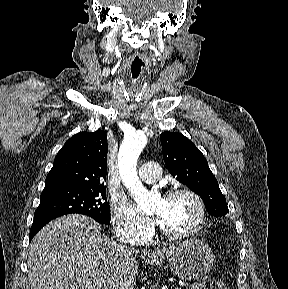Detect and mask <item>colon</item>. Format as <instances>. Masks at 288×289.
<instances>
[{"instance_id": "obj_1", "label": "colon", "mask_w": 288, "mask_h": 289, "mask_svg": "<svg viewBox=\"0 0 288 289\" xmlns=\"http://www.w3.org/2000/svg\"><path fill=\"white\" fill-rule=\"evenodd\" d=\"M209 289H228V285L223 279L216 278L210 283Z\"/></svg>"}]
</instances>
